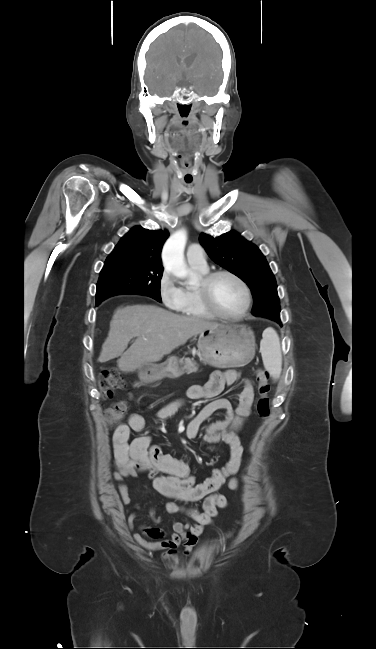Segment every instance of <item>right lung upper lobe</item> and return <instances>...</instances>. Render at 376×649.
<instances>
[{
  "label": "right lung upper lobe",
  "mask_w": 376,
  "mask_h": 649,
  "mask_svg": "<svg viewBox=\"0 0 376 649\" xmlns=\"http://www.w3.org/2000/svg\"><path fill=\"white\" fill-rule=\"evenodd\" d=\"M168 236V231H151L135 226L121 238L109 256L143 258L150 261L153 268H162L161 250Z\"/></svg>",
  "instance_id": "right-lung-upper-lobe-1"
}]
</instances>
